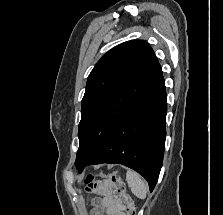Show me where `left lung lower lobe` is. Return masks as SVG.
<instances>
[{
	"mask_svg": "<svg viewBox=\"0 0 223 215\" xmlns=\"http://www.w3.org/2000/svg\"><path fill=\"white\" fill-rule=\"evenodd\" d=\"M162 70L107 135L85 166L119 163L141 174L152 191L162 167L167 113Z\"/></svg>",
	"mask_w": 223,
	"mask_h": 215,
	"instance_id": "left-lung-lower-lobe-1",
	"label": "left lung lower lobe"
}]
</instances>
